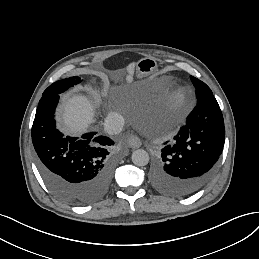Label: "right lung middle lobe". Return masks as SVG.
<instances>
[{
	"label": "right lung middle lobe",
	"mask_w": 259,
	"mask_h": 259,
	"mask_svg": "<svg viewBox=\"0 0 259 259\" xmlns=\"http://www.w3.org/2000/svg\"><path fill=\"white\" fill-rule=\"evenodd\" d=\"M81 82L79 77H70L68 79H63L56 81L55 83L51 84L42 94L44 96H51V95H59L63 93L68 88L73 87L76 84Z\"/></svg>",
	"instance_id": "1"
}]
</instances>
